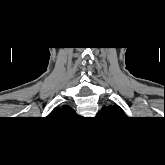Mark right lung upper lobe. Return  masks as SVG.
I'll list each match as a JSON object with an SVG mask.
<instances>
[{
	"label": "right lung upper lobe",
	"instance_id": "right-lung-upper-lobe-1",
	"mask_svg": "<svg viewBox=\"0 0 165 165\" xmlns=\"http://www.w3.org/2000/svg\"><path fill=\"white\" fill-rule=\"evenodd\" d=\"M75 114V111L67 105H63L61 107H56L53 111L49 114V118H67Z\"/></svg>",
	"mask_w": 165,
	"mask_h": 165
}]
</instances>
